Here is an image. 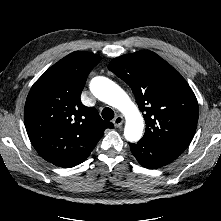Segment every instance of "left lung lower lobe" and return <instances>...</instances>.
Wrapping results in <instances>:
<instances>
[{"label": "left lung lower lobe", "instance_id": "0a47b994", "mask_svg": "<svg viewBox=\"0 0 221 221\" xmlns=\"http://www.w3.org/2000/svg\"><path fill=\"white\" fill-rule=\"evenodd\" d=\"M137 161L145 168L157 169L175 160L179 155L141 139L137 144L129 143Z\"/></svg>", "mask_w": 221, "mask_h": 221}]
</instances>
